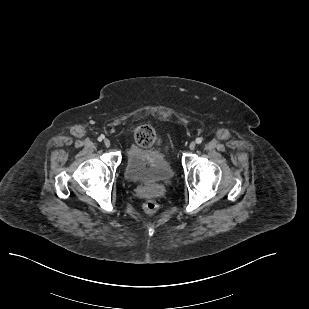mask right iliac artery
<instances>
[{
	"label": "right iliac artery",
	"mask_w": 309,
	"mask_h": 309,
	"mask_svg": "<svg viewBox=\"0 0 309 309\" xmlns=\"http://www.w3.org/2000/svg\"><path fill=\"white\" fill-rule=\"evenodd\" d=\"M104 138H105L104 135H100V136L98 137V141H102Z\"/></svg>",
	"instance_id": "82829eb1"
}]
</instances>
